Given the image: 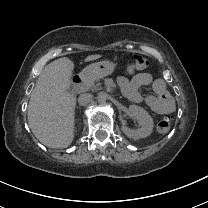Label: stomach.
Here are the masks:
<instances>
[{
  "label": "stomach",
  "instance_id": "1",
  "mask_svg": "<svg viewBox=\"0 0 208 208\" xmlns=\"http://www.w3.org/2000/svg\"><path fill=\"white\" fill-rule=\"evenodd\" d=\"M115 67L116 63L110 60L95 62L86 66L80 75L84 80H95L112 74Z\"/></svg>",
  "mask_w": 208,
  "mask_h": 208
}]
</instances>
